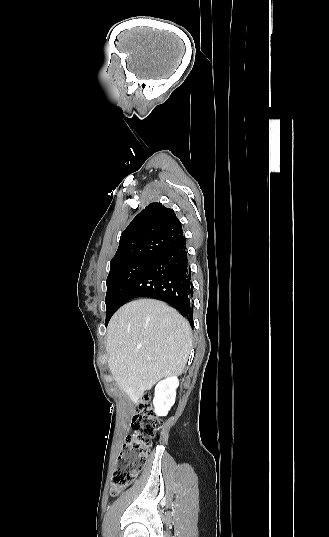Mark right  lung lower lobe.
I'll list each match as a JSON object with an SVG mask.
<instances>
[{
	"mask_svg": "<svg viewBox=\"0 0 329 537\" xmlns=\"http://www.w3.org/2000/svg\"><path fill=\"white\" fill-rule=\"evenodd\" d=\"M137 297L165 301L193 322V286L186 238L152 260L125 292L121 305Z\"/></svg>",
	"mask_w": 329,
	"mask_h": 537,
	"instance_id": "obj_1",
	"label": "right lung lower lobe"
}]
</instances>
